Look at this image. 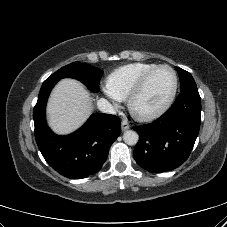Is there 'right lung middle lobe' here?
Wrapping results in <instances>:
<instances>
[{
    "instance_id": "obj_1",
    "label": "right lung middle lobe",
    "mask_w": 227,
    "mask_h": 227,
    "mask_svg": "<svg viewBox=\"0 0 227 227\" xmlns=\"http://www.w3.org/2000/svg\"><path fill=\"white\" fill-rule=\"evenodd\" d=\"M102 74L103 71L99 68L80 62H73L53 73L45 82L59 81L62 78H74L81 81L91 91L98 92Z\"/></svg>"
}]
</instances>
